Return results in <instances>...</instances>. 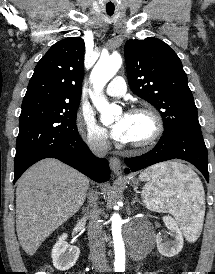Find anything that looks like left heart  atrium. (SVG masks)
Wrapping results in <instances>:
<instances>
[{
    "label": "left heart atrium",
    "mask_w": 215,
    "mask_h": 274,
    "mask_svg": "<svg viewBox=\"0 0 215 274\" xmlns=\"http://www.w3.org/2000/svg\"><path fill=\"white\" fill-rule=\"evenodd\" d=\"M129 127V114H122L117 118L111 128V136L117 141H127V131Z\"/></svg>",
    "instance_id": "39dd6f15"
}]
</instances>
